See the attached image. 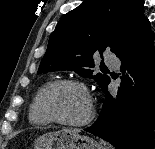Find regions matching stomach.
I'll list each match as a JSON object with an SVG mask.
<instances>
[{"instance_id":"0dacf381","label":"stomach","mask_w":155,"mask_h":149,"mask_svg":"<svg viewBox=\"0 0 155 149\" xmlns=\"http://www.w3.org/2000/svg\"><path fill=\"white\" fill-rule=\"evenodd\" d=\"M35 149H105L91 137L78 133L55 131L35 140Z\"/></svg>"}]
</instances>
